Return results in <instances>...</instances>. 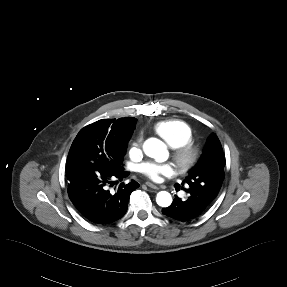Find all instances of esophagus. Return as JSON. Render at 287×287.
<instances>
[{
	"instance_id": "34e87169",
	"label": "esophagus",
	"mask_w": 287,
	"mask_h": 287,
	"mask_svg": "<svg viewBox=\"0 0 287 287\" xmlns=\"http://www.w3.org/2000/svg\"><path fill=\"white\" fill-rule=\"evenodd\" d=\"M146 185L152 189H155V190H159V187L154 185L153 183L151 182H146Z\"/></svg>"
}]
</instances>
